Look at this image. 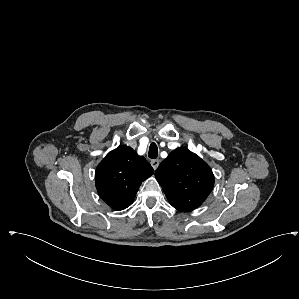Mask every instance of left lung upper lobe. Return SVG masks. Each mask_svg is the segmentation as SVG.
<instances>
[{"label":"left lung upper lobe","instance_id":"1","mask_svg":"<svg viewBox=\"0 0 299 299\" xmlns=\"http://www.w3.org/2000/svg\"><path fill=\"white\" fill-rule=\"evenodd\" d=\"M155 176L170 204L185 212L201 205L214 184L210 167L185 148L173 150L160 164Z\"/></svg>","mask_w":299,"mask_h":299}]
</instances>
